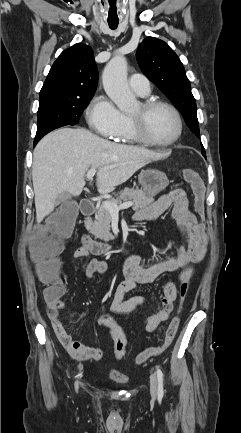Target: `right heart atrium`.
I'll use <instances>...</instances> for the list:
<instances>
[{
  "instance_id": "right-heart-atrium-1",
  "label": "right heart atrium",
  "mask_w": 241,
  "mask_h": 433,
  "mask_svg": "<svg viewBox=\"0 0 241 433\" xmlns=\"http://www.w3.org/2000/svg\"><path fill=\"white\" fill-rule=\"evenodd\" d=\"M87 119L91 128L99 134L113 137L120 131L124 116L111 100L99 95L90 103L87 109Z\"/></svg>"
}]
</instances>
